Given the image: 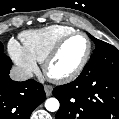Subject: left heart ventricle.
I'll use <instances>...</instances> for the list:
<instances>
[{
	"instance_id": "obj_1",
	"label": "left heart ventricle",
	"mask_w": 119,
	"mask_h": 119,
	"mask_svg": "<svg viewBox=\"0 0 119 119\" xmlns=\"http://www.w3.org/2000/svg\"><path fill=\"white\" fill-rule=\"evenodd\" d=\"M86 51V39L80 35L73 36L63 45L58 56L50 65V73L60 76L71 72L81 62Z\"/></svg>"
}]
</instances>
